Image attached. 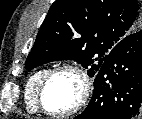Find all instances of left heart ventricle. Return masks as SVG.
Instances as JSON below:
<instances>
[{"label":"left heart ventricle","mask_w":142,"mask_h":119,"mask_svg":"<svg viewBox=\"0 0 142 119\" xmlns=\"http://www.w3.org/2000/svg\"><path fill=\"white\" fill-rule=\"evenodd\" d=\"M80 90V80L74 73H57L46 86L44 104L51 111H66L77 103Z\"/></svg>","instance_id":"1"}]
</instances>
